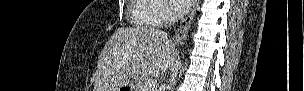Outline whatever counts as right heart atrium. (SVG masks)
<instances>
[{"label":"right heart atrium","mask_w":304,"mask_h":91,"mask_svg":"<svg viewBox=\"0 0 304 91\" xmlns=\"http://www.w3.org/2000/svg\"><path fill=\"white\" fill-rule=\"evenodd\" d=\"M158 5V10L154 16V21L156 24L163 23L169 20L171 12L166 5L161 4V1H155Z\"/></svg>","instance_id":"right-heart-atrium-1"}]
</instances>
